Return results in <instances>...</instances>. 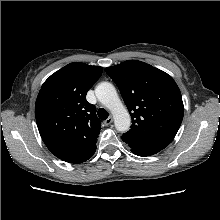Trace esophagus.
<instances>
[{
  "instance_id": "esophagus-1",
  "label": "esophagus",
  "mask_w": 220,
  "mask_h": 220,
  "mask_svg": "<svg viewBox=\"0 0 220 220\" xmlns=\"http://www.w3.org/2000/svg\"><path fill=\"white\" fill-rule=\"evenodd\" d=\"M112 122H113V118L110 116L109 118H107V119L104 121V125H105V126H108V125H110Z\"/></svg>"
}]
</instances>
